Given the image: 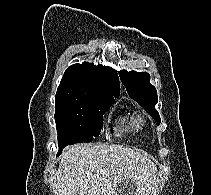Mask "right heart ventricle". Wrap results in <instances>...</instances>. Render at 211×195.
Returning <instances> with one entry per match:
<instances>
[{
    "instance_id": "right-heart-ventricle-1",
    "label": "right heart ventricle",
    "mask_w": 211,
    "mask_h": 195,
    "mask_svg": "<svg viewBox=\"0 0 211 195\" xmlns=\"http://www.w3.org/2000/svg\"><path fill=\"white\" fill-rule=\"evenodd\" d=\"M143 125H144V120L139 115L132 117L130 120H124L122 122V126L125 129H129V130H138L142 128Z\"/></svg>"
}]
</instances>
